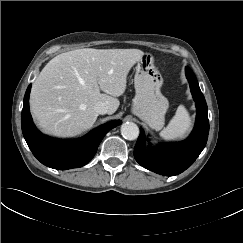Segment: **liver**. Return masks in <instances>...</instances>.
<instances>
[{"instance_id":"1","label":"liver","mask_w":243,"mask_h":243,"mask_svg":"<svg viewBox=\"0 0 243 243\" xmlns=\"http://www.w3.org/2000/svg\"><path fill=\"white\" fill-rule=\"evenodd\" d=\"M144 52L139 49H76L57 55L32 85L30 108L43 132L74 137L97 120V102L108 114L119 107L117 97L127 86V75ZM101 91L103 93H101Z\"/></svg>"}]
</instances>
